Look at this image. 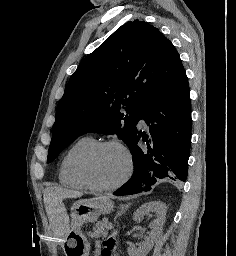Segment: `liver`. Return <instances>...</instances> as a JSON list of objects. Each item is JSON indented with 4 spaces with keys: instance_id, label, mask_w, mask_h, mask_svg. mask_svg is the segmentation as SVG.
<instances>
[{
    "instance_id": "liver-1",
    "label": "liver",
    "mask_w": 236,
    "mask_h": 256,
    "mask_svg": "<svg viewBox=\"0 0 236 256\" xmlns=\"http://www.w3.org/2000/svg\"><path fill=\"white\" fill-rule=\"evenodd\" d=\"M82 192L62 190V188H47L44 190V204L49 218H53L54 212H58V200L62 198H81Z\"/></svg>"
}]
</instances>
